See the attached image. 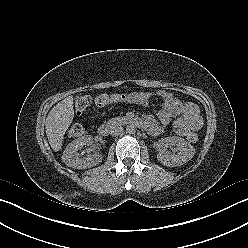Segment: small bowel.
Masks as SVG:
<instances>
[{
    "label": "small bowel",
    "mask_w": 248,
    "mask_h": 248,
    "mask_svg": "<svg viewBox=\"0 0 248 248\" xmlns=\"http://www.w3.org/2000/svg\"><path fill=\"white\" fill-rule=\"evenodd\" d=\"M123 96L124 99L122 101L140 106L148 105L154 97L161 99L162 107L157 111V117L161 124L151 119L144 121L147 123L146 128L154 135H160L163 132V126L169 125L174 118L173 128L175 133L186 137L187 140L192 133L197 132L202 127L203 120L197 105L191 102L180 101L170 92L164 90L154 92L140 91L125 93Z\"/></svg>",
    "instance_id": "obj_1"
}]
</instances>
